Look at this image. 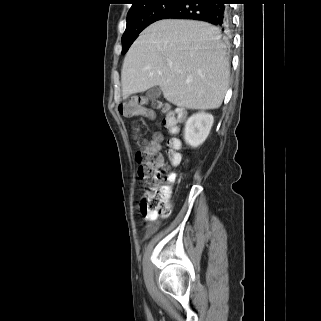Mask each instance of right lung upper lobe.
<instances>
[{
  "instance_id": "obj_1",
  "label": "right lung upper lobe",
  "mask_w": 321,
  "mask_h": 321,
  "mask_svg": "<svg viewBox=\"0 0 321 321\" xmlns=\"http://www.w3.org/2000/svg\"><path fill=\"white\" fill-rule=\"evenodd\" d=\"M148 1H152V0H132V7L138 6V5H142Z\"/></svg>"
}]
</instances>
